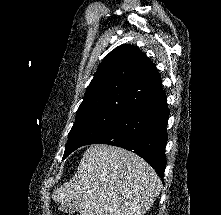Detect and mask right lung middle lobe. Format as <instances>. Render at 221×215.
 Returning <instances> with one entry per match:
<instances>
[{"label":"right lung middle lobe","instance_id":"obj_1","mask_svg":"<svg viewBox=\"0 0 221 215\" xmlns=\"http://www.w3.org/2000/svg\"><path fill=\"white\" fill-rule=\"evenodd\" d=\"M120 116L106 112L77 113L72 129L70 130L63 159L77 148L86 145L91 139L102 133L116 122Z\"/></svg>","mask_w":221,"mask_h":215}]
</instances>
